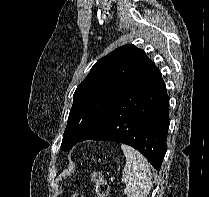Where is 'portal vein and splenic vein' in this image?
Returning <instances> with one entry per match:
<instances>
[{
    "mask_svg": "<svg viewBox=\"0 0 209 197\" xmlns=\"http://www.w3.org/2000/svg\"><path fill=\"white\" fill-rule=\"evenodd\" d=\"M126 179L125 178H122V181H125Z\"/></svg>",
    "mask_w": 209,
    "mask_h": 197,
    "instance_id": "1",
    "label": "portal vein and splenic vein"
}]
</instances>
